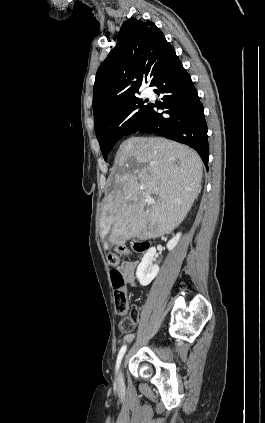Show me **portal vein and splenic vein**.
<instances>
[{
    "label": "portal vein and splenic vein",
    "mask_w": 265,
    "mask_h": 423,
    "mask_svg": "<svg viewBox=\"0 0 265 423\" xmlns=\"http://www.w3.org/2000/svg\"><path fill=\"white\" fill-rule=\"evenodd\" d=\"M146 202H147L149 205L156 204L155 200H154L151 196H148V197L146 198Z\"/></svg>",
    "instance_id": "18ae733b"
}]
</instances>
